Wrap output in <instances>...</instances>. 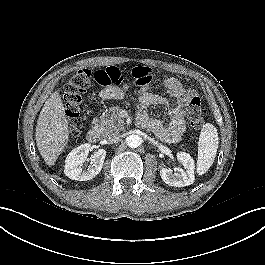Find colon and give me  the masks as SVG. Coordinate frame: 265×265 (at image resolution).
Segmentation results:
<instances>
[{
  "mask_svg": "<svg viewBox=\"0 0 265 265\" xmlns=\"http://www.w3.org/2000/svg\"><path fill=\"white\" fill-rule=\"evenodd\" d=\"M131 76L137 83H143L146 81V79H143L138 73H131ZM123 80L124 75L115 67H109L105 70L97 71L82 69L68 80L64 87L63 97L65 100V109L71 136L76 137L79 135V116L81 106L85 100L86 91L91 83L95 81L101 85H120ZM186 118L193 128L199 129L203 126V112L201 100L198 96H193L190 99L186 110Z\"/></svg>",
  "mask_w": 265,
  "mask_h": 265,
  "instance_id": "obj_1",
  "label": "colon"
}]
</instances>
